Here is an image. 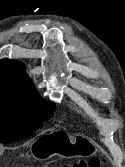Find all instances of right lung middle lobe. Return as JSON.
Instances as JSON below:
<instances>
[{"label": "right lung middle lobe", "mask_w": 125, "mask_h": 167, "mask_svg": "<svg viewBox=\"0 0 125 167\" xmlns=\"http://www.w3.org/2000/svg\"><path fill=\"white\" fill-rule=\"evenodd\" d=\"M55 105L40 96L13 98L0 95V142L12 143L32 135L52 118Z\"/></svg>", "instance_id": "right-lung-middle-lobe-1"}]
</instances>
